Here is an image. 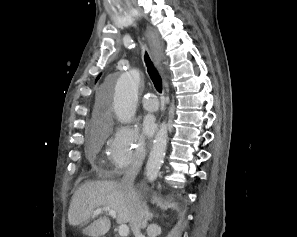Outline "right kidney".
Masks as SVG:
<instances>
[{"label": "right kidney", "mask_w": 297, "mask_h": 237, "mask_svg": "<svg viewBox=\"0 0 297 237\" xmlns=\"http://www.w3.org/2000/svg\"><path fill=\"white\" fill-rule=\"evenodd\" d=\"M161 234V228L156 224H150L147 228L148 237H157Z\"/></svg>", "instance_id": "1"}]
</instances>
